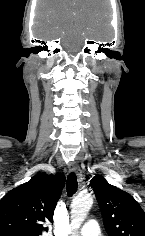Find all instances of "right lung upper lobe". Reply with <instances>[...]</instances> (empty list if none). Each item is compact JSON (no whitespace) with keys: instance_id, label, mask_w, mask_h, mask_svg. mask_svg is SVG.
Segmentation results:
<instances>
[{"instance_id":"cb5924a9","label":"right lung upper lobe","mask_w":145,"mask_h":236,"mask_svg":"<svg viewBox=\"0 0 145 236\" xmlns=\"http://www.w3.org/2000/svg\"><path fill=\"white\" fill-rule=\"evenodd\" d=\"M65 184L62 174L40 173L9 191L0 201V236H40L53 222Z\"/></svg>"}]
</instances>
